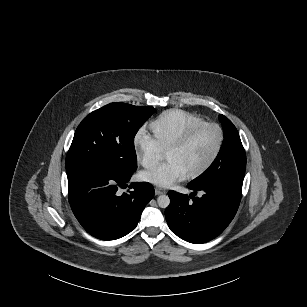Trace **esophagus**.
Segmentation results:
<instances>
[{
  "label": "esophagus",
  "mask_w": 307,
  "mask_h": 307,
  "mask_svg": "<svg viewBox=\"0 0 307 307\" xmlns=\"http://www.w3.org/2000/svg\"><path fill=\"white\" fill-rule=\"evenodd\" d=\"M162 194H166V191L159 188H155V195H162Z\"/></svg>",
  "instance_id": "obj_1"
}]
</instances>
